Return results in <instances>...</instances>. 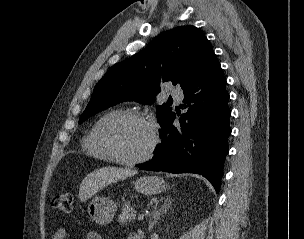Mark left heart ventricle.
I'll list each match as a JSON object with an SVG mask.
<instances>
[{
    "label": "left heart ventricle",
    "instance_id": "1",
    "mask_svg": "<svg viewBox=\"0 0 304 239\" xmlns=\"http://www.w3.org/2000/svg\"><path fill=\"white\" fill-rule=\"evenodd\" d=\"M111 140L121 156L135 158L148 149L152 141V130L144 122L130 120L113 128Z\"/></svg>",
    "mask_w": 304,
    "mask_h": 239
}]
</instances>
